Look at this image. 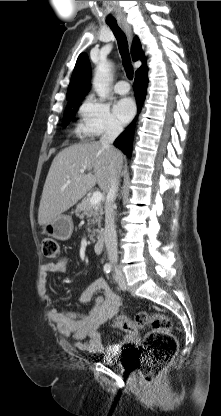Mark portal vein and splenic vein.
Returning <instances> with one entry per match:
<instances>
[{
	"mask_svg": "<svg viewBox=\"0 0 221 416\" xmlns=\"http://www.w3.org/2000/svg\"><path fill=\"white\" fill-rule=\"evenodd\" d=\"M80 172L83 173L84 170H81ZM102 199H103L102 193L99 191H96L93 193V195L90 198V204L91 205L99 204L102 201Z\"/></svg>",
	"mask_w": 221,
	"mask_h": 416,
	"instance_id": "obj_1",
	"label": "portal vein and splenic vein"
}]
</instances>
